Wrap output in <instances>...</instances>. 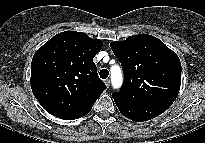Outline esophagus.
I'll list each match as a JSON object with an SVG mask.
<instances>
[{"instance_id": "esophagus-1", "label": "esophagus", "mask_w": 205, "mask_h": 143, "mask_svg": "<svg viewBox=\"0 0 205 143\" xmlns=\"http://www.w3.org/2000/svg\"><path fill=\"white\" fill-rule=\"evenodd\" d=\"M104 82H105V84H106L107 87L110 86V79H106Z\"/></svg>"}]
</instances>
